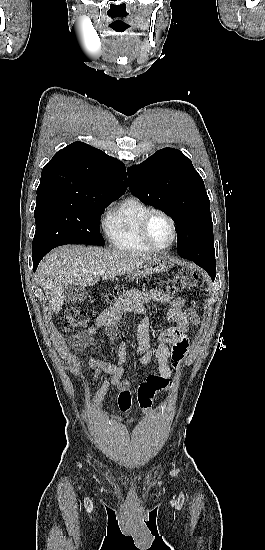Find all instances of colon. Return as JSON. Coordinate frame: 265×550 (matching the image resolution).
Returning a JSON list of instances; mask_svg holds the SVG:
<instances>
[{
    "label": "colon",
    "mask_w": 265,
    "mask_h": 550,
    "mask_svg": "<svg viewBox=\"0 0 265 550\" xmlns=\"http://www.w3.org/2000/svg\"><path fill=\"white\" fill-rule=\"evenodd\" d=\"M201 285L200 277L191 269L183 268L176 272L174 276L162 282L161 290L168 294H175L197 288ZM122 287H115L107 294V301L113 302L123 295ZM88 315L76 306L67 307L64 311V328L68 332H73L88 327ZM168 387L167 381L159 376L148 377L141 383L136 392V402L140 409L147 415H153L154 397L165 391Z\"/></svg>",
    "instance_id": "obj_1"
}]
</instances>
